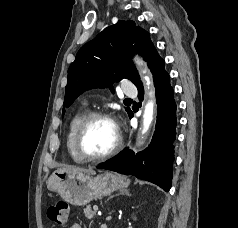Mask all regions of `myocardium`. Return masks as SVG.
I'll list each match as a JSON object with an SVG mask.
<instances>
[{
    "instance_id": "f54148a6",
    "label": "myocardium",
    "mask_w": 238,
    "mask_h": 228,
    "mask_svg": "<svg viewBox=\"0 0 238 228\" xmlns=\"http://www.w3.org/2000/svg\"><path fill=\"white\" fill-rule=\"evenodd\" d=\"M96 119H108V120H111L115 124L112 116L105 111H92L87 113V115L82 119V121L80 122L77 128V131L75 134V141H74V147H75L76 153L84 161L95 162V161L108 159L112 157L113 155H115L122 147V142H123L122 135L117 125L115 124L116 131H117V141L115 145L109 151L101 155H96V156L88 155L87 153L84 152L82 147L83 137L89 125Z\"/></svg>"
}]
</instances>
